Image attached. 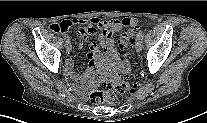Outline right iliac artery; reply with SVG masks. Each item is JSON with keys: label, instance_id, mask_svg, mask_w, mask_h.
Returning a JSON list of instances; mask_svg holds the SVG:
<instances>
[{"label": "right iliac artery", "instance_id": "82829eb1", "mask_svg": "<svg viewBox=\"0 0 207 123\" xmlns=\"http://www.w3.org/2000/svg\"><path fill=\"white\" fill-rule=\"evenodd\" d=\"M64 38H65L66 41H70L68 36H64Z\"/></svg>", "mask_w": 207, "mask_h": 123}]
</instances>
